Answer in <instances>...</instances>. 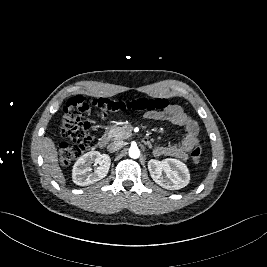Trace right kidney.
<instances>
[{
	"label": "right kidney",
	"instance_id": "1",
	"mask_svg": "<svg viewBox=\"0 0 267 267\" xmlns=\"http://www.w3.org/2000/svg\"><path fill=\"white\" fill-rule=\"evenodd\" d=\"M99 164L91 173V164ZM111 159L107 154L98 151H90L82 155L74 164L72 169V179L76 185L87 186L103 179L110 168Z\"/></svg>",
	"mask_w": 267,
	"mask_h": 267
}]
</instances>
